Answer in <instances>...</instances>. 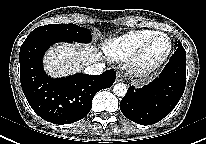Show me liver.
<instances>
[{
  "label": "liver",
  "mask_w": 206,
  "mask_h": 144,
  "mask_svg": "<svg viewBox=\"0 0 206 144\" xmlns=\"http://www.w3.org/2000/svg\"><path fill=\"white\" fill-rule=\"evenodd\" d=\"M101 59V53L92 45L58 44L44 58L45 70L52 77H63L92 65Z\"/></svg>",
  "instance_id": "liver-1"
}]
</instances>
